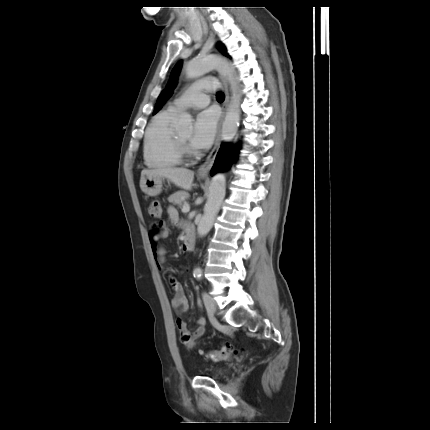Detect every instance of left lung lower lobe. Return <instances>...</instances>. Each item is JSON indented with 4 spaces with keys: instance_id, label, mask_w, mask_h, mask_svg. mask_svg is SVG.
Masks as SVG:
<instances>
[{
    "instance_id": "left-lung-lower-lobe-1",
    "label": "left lung lower lobe",
    "mask_w": 430,
    "mask_h": 430,
    "mask_svg": "<svg viewBox=\"0 0 430 430\" xmlns=\"http://www.w3.org/2000/svg\"><path fill=\"white\" fill-rule=\"evenodd\" d=\"M238 148L234 149L229 144L223 143L216 156L215 163L212 167L211 174L225 169L237 156Z\"/></svg>"
}]
</instances>
